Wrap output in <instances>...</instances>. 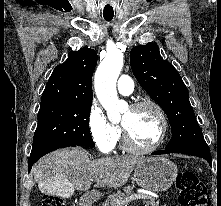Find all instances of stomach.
<instances>
[{
    "mask_svg": "<svg viewBox=\"0 0 221 206\" xmlns=\"http://www.w3.org/2000/svg\"><path fill=\"white\" fill-rule=\"evenodd\" d=\"M177 174L176 165L168 159L151 157L140 162L135 167L134 178L143 189L160 192L167 190L173 184ZM98 197V193L89 195L92 201H95Z\"/></svg>",
    "mask_w": 221,
    "mask_h": 206,
    "instance_id": "obj_1",
    "label": "stomach"
}]
</instances>
